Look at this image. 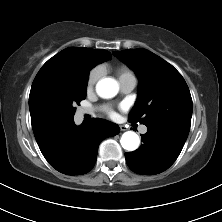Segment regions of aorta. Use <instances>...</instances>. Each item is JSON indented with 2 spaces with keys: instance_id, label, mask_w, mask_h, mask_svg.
<instances>
[{
  "instance_id": "obj_1",
  "label": "aorta",
  "mask_w": 222,
  "mask_h": 222,
  "mask_svg": "<svg viewBox=\"0 0 222 222\" xmlns=\"http://www.w3.org/2000/svg\"><path fill=\"white\" fill-rule=\"evenodd\" d=\"M119 90L118 83L110 78H104L96 84L97 94L105 99L114 97ZM121 146L127 151H134L139 147V136L133 131L123 133L120 139Z\"/></svg>"
}]
</instances>
